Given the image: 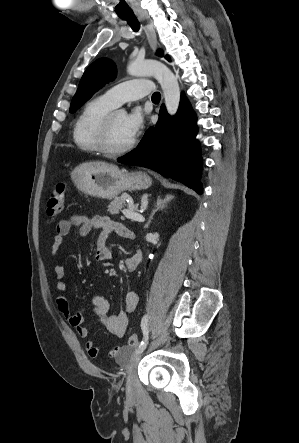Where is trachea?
<instances>
[{
	"mask_svg": "<svg viewBox=\"0 0 299 443\" xmlns=\"http://www.w3.org/2000/svg\"><path fill=\"white\" fill-rule=\"evenodd\" d=\"M122 19L126 20L127 23L129 24V26L132 28V30L134 32H138L140 29V23L138 21V19L136 18V16L134 15V13L129 12V13H123V15L121 16ZM160 93L159 92H155L152 95V100L153 101H159L160 100Z\"/></svg>",
	"mask_w": 299,
	"mask_h": 443,
	"instance_id": "1",
	"label": "trachea"
}]
</instances>
